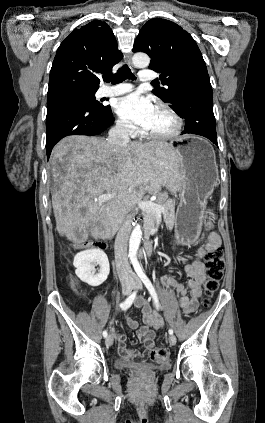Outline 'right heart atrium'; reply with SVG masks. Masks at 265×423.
I'll list each match as a JSON object with an SVG mask.
<instances>
[{
  "label": "right heart atrium",
  "mask_w": 265,
  "mask_h": 423,
  "mask_svg": "<svg viewBox=\"0 0 265 423\" xmlns=\"http://www.w3.org/2000/svg\"><path fill=\"white\" fill-rule=\"evenodd\" d=\"M116 129L126 135H134L136 133V127L129 121L119 118L116 121Z\"/></svg>",
  "instance_id": "d8ad5b80"
}]
</instances>
